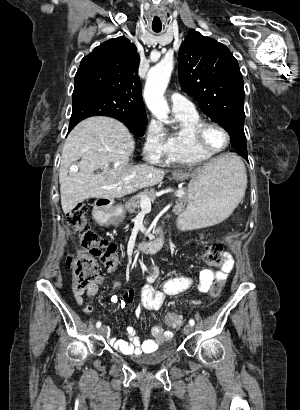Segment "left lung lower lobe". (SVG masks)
Returning <instances> with one entry per match:
<instances>
[{
  "instance_id": "left-lung-lower-lobe-1",
  "label": "left lung lower lobe",
  "mask_w": 300,
  "mask_h": 410,
  "mask_svg": "<svg viewBox=\"0 0 300 410\" xmlns=\"http://www.w3.org/2000/svg\"><path fill=\"white\" fill-rule=\"evenodd\" d=\"M239 154L248 161V157H247L248 154H242V153H239Z\"/></svg>"
}]
</instances>
